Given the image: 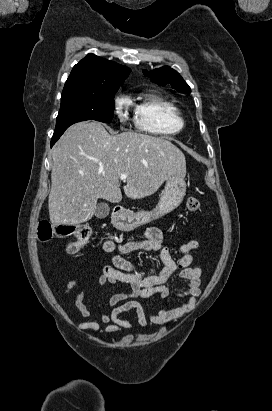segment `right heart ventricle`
Here are the masks:
<instances>
[{"instance_id": "1", "label": "right heart ventricle", "mask_w": 272, "mask_h": 411, "mask_svg": "<svg viewBox=\"0 0 272 411\" xmlns=\"http://www.w3.org/2000/svg\"><path fill=\"white\" fill-rule=\"evenodd\" d=\"M133 106L139 129L154 135H172L184 127L180 110L171 102L154 94H143L137 100L126 98Z\"/></svg>"}]
</instances>
